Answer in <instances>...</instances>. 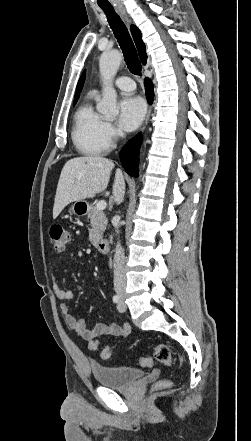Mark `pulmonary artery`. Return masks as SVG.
<instances>
[{
  "label": "pulmonary artery",
  "mask_w": 251,
  "mask_h": 441,
  "mask_svg": "<svg viewBox=\"0 0 251 441\" xmlns=\"http://www.w3.org/2000/svg\"><path fill=\"white\" fill-rule=\"evenodd\" d=\"M116 87L125 92H131L135 89L134 81L129 77H119L115 81Z\"/></svg>",
  "instance_id": "1"
}]
</instances>
